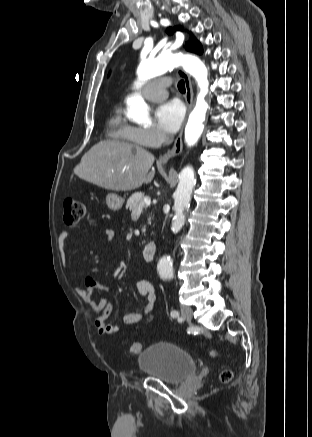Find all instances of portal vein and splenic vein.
<instances>
[{"label": "portal vein and splenic vein", "mask_w": 312, "mask_h": 437, "mask_svg": "<svg viewBox=\"0 0 312 437\" xmlns=\"http://www.w3.org/2000/svg\"><path fill=\"white\" fill-rule=\"evenodd\" d=\"M150 203H151V199L149 198V197H145L144 198V204H146V205H150ZM141 209V207H139L138 209H136V210H140ZM135 210V211H136Z\"/></svg>", "instance_id": "obj_1"}]
</instances>
